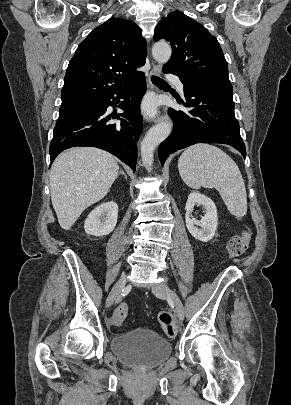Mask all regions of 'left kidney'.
Segmentation results:
<instances>
[{"instance_id":"5707ae66","label":"left kidney","mask_w":291,"mask_h":405,"mask_svg":"<svg viewBox=\"0 0 291 405\" xmlns=\"http://www.w3.org/2000/svg\"><path fill=\"white\" fill-rule=\"evenodd\" d=\"M195 204L202 205L205 208V215L199 221L190 217ZM185 210L186 227L189 233L195 239L202 242L211 240L215 235L218 224L217 209L214 202L205 195L191 192L188 196Z\"/></svg>"}]
</instances>
